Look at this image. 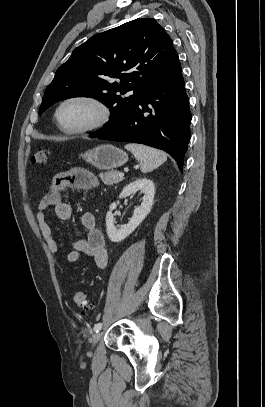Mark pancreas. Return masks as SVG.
<instances>
[{
    "instance_id": "1",
    "label": "pancreas",
    "mask_w": 265,
    "mask_h": 407,
    "mask_svg": "<svg viewBox=\"0 0 265 407\" xmlns=\"http://www.w3.org/2000/svg\"><path fill=\"white\" fill-rule=\"evenodd\" d=\"M119 172L118 171H108L105 173H100L99 177L100 179L104 182L106 185H113L121 182L123 178L119 177Z\"/></svg>"
}]
</instances>
